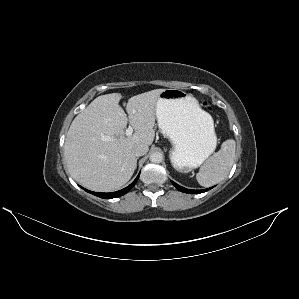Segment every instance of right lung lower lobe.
Returning a JSON list of instances; mask_svg holds the SVG:
<instances>
[{
    "instance_id": "1",
    "label": "right lung lower lobe",
    "mask_w": 299,
    "mask_h": 299,
    "mask_svg": "<svg viewBox=\"0 0 299 299\" xmlns=\"http://www.w3.org/2000/svg\"><path fill=\"white\" fill-rule=\"evenodd\" d=\"M140 174L137 176V178L129 185L127 186L126 188L122 189V190H119L117 192H112V193H98V192H92V191H89L87 189H84L85 191L95 195V196H98L100 198H103V199H111V198H116V197H119V196H122L124 194H126L134 185L135 183L137 182L138 178H139Z\"/></svg>"
}]
</instances>
